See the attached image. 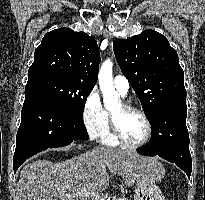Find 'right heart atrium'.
<instances>
[{"instance_id":"obj_1","label":"right heart atrium","mask_w":205,"mask_h":200,"mask_svg":"<svg viewBox=\"0 0 205 200\" xmlns=\"http://www.w3.org/2000/svg\"><path fill=\"white\" fill-rule=\"evenodd\" d=\"M82 120L90 138L101 137L108 125V113L97 90H92L86 97L82 108Z\"/></svg>"}]
</instances>
